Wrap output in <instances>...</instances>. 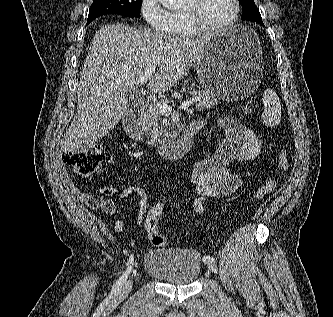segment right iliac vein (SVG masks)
I'll use <instances>...</instances> for the list:
<instances>
[{"mask_svg":"<svg viewBox=\"0 0 333 317\" xmlns=\"http://www.w3.org/2000/svg\"><path fill=\"white\" fill-rule=\"evenodd\" d=\"M131 289H132V281L129 280L118 291V293L116 295V298L117 299H123V298H125L130 293Z\"/></svg>","mask_w":333,"mask_h":317,"instance_id":"obj_1","label":"right iliac vein"}]
</instances>
